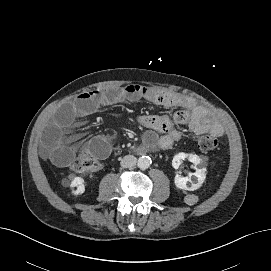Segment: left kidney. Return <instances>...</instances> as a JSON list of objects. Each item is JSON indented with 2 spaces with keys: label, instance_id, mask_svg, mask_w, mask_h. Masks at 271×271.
I'll return each mask as SVG.
<instances>
[{
  "label": "left kidney",
  "instance_id": "left-kidney-1",
  "mask_svg": "<svg viewBox=\"0 0 271 271\" xmlns=\"http://www.w3.org/2000/svg\"><path fill=\"white\" fill-rule=\"evenodd\" d=\"M188 158L190 162L195 165L196 172L190 174L188 177H182L179 174H176L174 183L175 186L181 190L194 191L199 189L206 179V168L201 167L197 168V165L201 164V158L196 154H186L180 152L176 154L172 160V166L175 169H178L182 164V161Z\"/></svg>",
  "mask_w": 271,
  "mask_h": 271
}]
</instances>
